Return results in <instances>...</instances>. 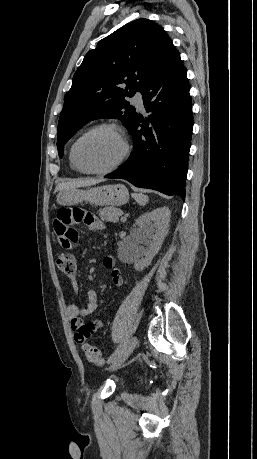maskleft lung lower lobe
Here are the masks:
<instances>
[{
	"label": "left lung lower lobe",
	"instance_id": "left-lung-lower-lobe-1",
	"mask_svg": "<svg viewBox=\"0 0 257 459\" xmlns=\"http://www.w3.org/2000/svg\"><path fill=\"white\" fill-rule=\"evenodd\" d=\"M141 93L150 114H136L128 128L133 153L105 177L184 199L193 114L186 70L176 48Z\"/></svg>",
	"mask_w": 257,
	"mask_h": 459
}]
</instances>
